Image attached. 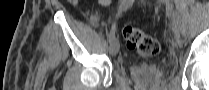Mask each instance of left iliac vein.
<instances>
[{"label": "left iliac vein", "mask_w": 209, "mask_h": 90, "mask_svg": "<svg viewBox=\"0 0 209 90\" xmlns=\"http://www.w3.org/2000/svg\"><path fill=\"white\" fill-rule=\"evenodd\" d=\"M165 6H166V13L167 15L173 20L174 24H172L171 31L174 32V34H179V24H181V19L175 10L173 4L169 0H165Z\"/></svg>", "instance_id": "obj_1"}]
</instances>
